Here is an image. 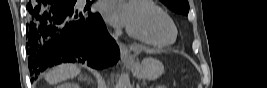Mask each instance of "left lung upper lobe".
<instances>
[{"instance_id": "1", "label": "left lung upper lobe", "mask_w": 267, "mask_h": 88, "mask_svg": "<svg viewBox=\"0 0 267 88\" xmlns=\"http://www.w3.org/2000/svg\"><path fill=\"white\" fill-rule=\"evenodd\" d=\"M171 10L176 13L187 15L189 11V3L187 0H161Z\"/></svg>"}]
</instances>
